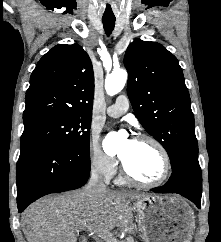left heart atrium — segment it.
Masks as SVG:
<instances>
[{"mask_svg":"<svg viewBox=\"0 0 221 242\" xmlns=\"http://www.w3.org/2000/svg\"><path fill=\"white\" fill-rule=\"evenodd\" d=\"M130 142H133V141H135V140H129Z\"/></svg>","mask_w":221,"mask_h":242,"instance_id":"obj_1","label":"left heart atrium"}]
</instances>
